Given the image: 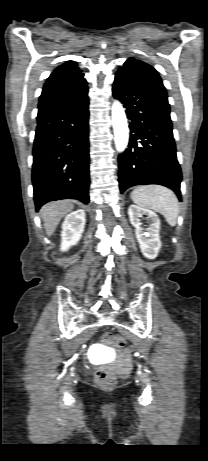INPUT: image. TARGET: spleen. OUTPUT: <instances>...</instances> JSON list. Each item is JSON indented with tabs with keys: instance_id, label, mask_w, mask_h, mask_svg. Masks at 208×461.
<instances>
[{
	"instance_id": "1",
	"label": "spleen",
	"mask_w": 208,
	"mask_h": 461,
	"mask_svg": "<svg viewBox=\"0 0 208 461\" xmlns=\"http://www.w3.org/2000/svg\"><path fill=\"white\" fill-rule=\"evenodd\" d=\"M130 196L138 206L162 214L170 226H176L179 205L177 196L172 190L160 185L138 186Z\"/></svg>"
}]
</instances>
